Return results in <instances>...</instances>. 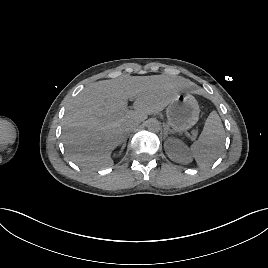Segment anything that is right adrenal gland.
Returning a JSON list of instances; mask_svg holds the SVG:
<instances>
[{
    "mask_svg": "<svg viewBox=\"0 0 268 268\" xmlns=\"http://www.w3.org/2000/svg\"><path fill=\"white\" fill-rule=\"evenodd\" d=\"M126 142H127V138L126 137H124L122 140H121V143L120 144H122V147H121V151L120 152H122L123 151V149L125 148V146H126Z\"/></svg>",
    "mask_w": 268,
    "mask_h": 268,
    "instance_id": "obj_1",
    "label": "right adrenal gland"
}]
</instances>
